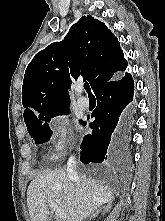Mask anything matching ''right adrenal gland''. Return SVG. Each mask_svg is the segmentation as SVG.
Wrapping results in <instances>:
<instances>
[{
  "label": "right adrenal gland",
  "instance_id": "obj_1",
  "mask_svg": "<svg viewBox=\"0 0 165 221\" xmlns=\"http://www.w3.org/2000/svg\"><path fill=\"white\" fill-rule=\"evenodd\" d=\"M110 209H111V205L110 204H107L106 206L97 208L95 210V212L88 217V219L92 220V219L96 218L100 212H102V214L104 215L105 213L109 212Z\"/></svg>",
  "mask_w": 165,
  "mask_h": 221
}]
</instances>
